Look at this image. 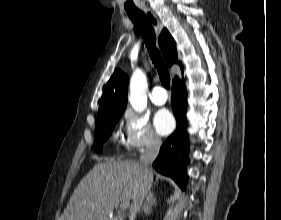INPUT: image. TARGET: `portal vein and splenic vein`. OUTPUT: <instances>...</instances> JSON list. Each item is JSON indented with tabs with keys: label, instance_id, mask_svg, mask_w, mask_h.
Here are the masks:
<instances>
[{
	"label": "portal vein and splenic vein",
	"instance_id": "1",
	"mask_svg": "<svg viewBox=\"0 0 281 220\" xmlns=\"http://www.w3.org/2000/svg\"><path fill=\"white\" fill-rule=\"evenodd\" d=\"M129 203H130V201H123L122 203H121V208L122 209H126L128 206H129Z\"/></svg>",
	"mask_w": 281,
	"mask_h": 220
}]
</instances>
